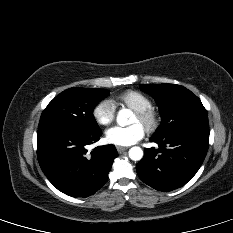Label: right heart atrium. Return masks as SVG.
I'll list each match as a JSON object with an SVG mask.
<instances>
[{"label":"right heart atrium","instance_id":"right-heart-atrium-1","mask_svg":"<svg viewBox=\"0 0 233 233\" xmlns=\"http://www.w3.org/2000/svg\"><path fill=\"white\" fill-rule=\"evenodd\" d=\"M94 120L102 126L111 124L115 119V105L110 99L99 101L92 110Z\"/></svg>","mask_w":233,"mask_h":233}]
</instances>
